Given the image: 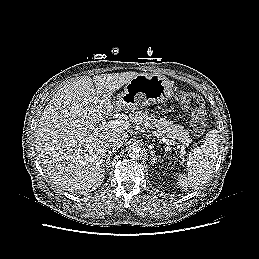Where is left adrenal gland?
I'll use <instances>...</instances> for the list:
<instances>
[{"mask_svg": "<svg viewBox=\"0 0 259 259\" xmlns=\"http://www.w3.org/2000/svg\"><path fill=\"white\" fill-rule=\"evenodd\" d=\"M150 154H151V156H152L151 164L154 165L155 163H157V156H156L154 150H150ZM159 158H160V157H159ZM158 160H159V159H158Z\"/></svg>", "mask_w": 259, "mask_h": 259, "instance_id": "left-adrenal-gland-1", "label": "left adrenal gland"}]
</instances>
